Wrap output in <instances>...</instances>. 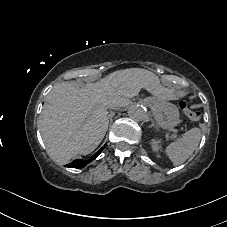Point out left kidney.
I'll list each match as a JSON object with an SVG mask.
<instances>
[{
	"instance_id": "left-kidney-1",
	"label": "left kidney",
	"mask_w": 227,
	"mask_h": 227,
	"mask_svg": "<svg viewBox=\"0 0 227 227\" xmlns=\"http://www.w3.org/2000/svg\"><path fill=\"white\" fill-rule=\"evenodd\" d=\"M153 150H158L160 148V142L152 141Z\"/></svg>"
}]
</instances>
